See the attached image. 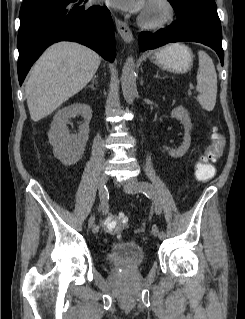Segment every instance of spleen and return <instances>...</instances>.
I'll list each match as a JSON object with an SVG mask.
<instances>
[{"mask_svg":"<svg viewBox=\"0 0 245 319\" xmlns=\"http://www.w3.org/2000/svg\"><path fill=\"white\" fill-rule=\"evenodd\" d=\"M199 69L197 72V100L206 111L215 107L217 96V74L214 63L204 51H198Z\"/></svg>","mask_w":245,"mask_h":319,"instance_id":"1","label":"spleen"}]
</instances>
